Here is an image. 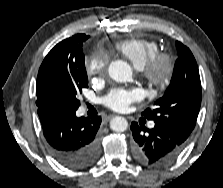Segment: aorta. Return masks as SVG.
I'll use <instances>...</instances> for the list:
<instances>
[{
	"label": "aorta",
	"mask_w": 223,
	"mask_h": 188,
	"mask_svg": "<svg viewBox=\"0 0 223 188\" xmlns=\"http://www.w3.org/2000/svg\"><path fill=\"white\" fill-rule=\"evenodd\" d=\"M110 77L117 82H126L132 77L130 65L122 60L114 61L108 69ZM128 127V122L124 117L116 116L110 121V128L116 132H124Z\"/></svg>",
	"instance_id": "aorta-1"
}]
</instances>
